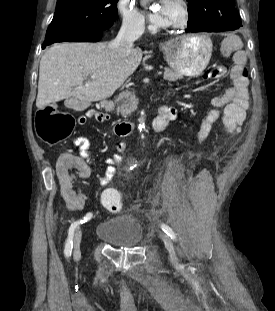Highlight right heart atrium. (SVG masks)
Wrapping results in <instances>:
<instances>
[{"label": "right heart atrium", "mask_w": 275, "mask_h": 311, "mask_svg": "<svg viewBox=\"0 0 275 311\" xmlns=\"http://www.w3.org/2000/svg\"><path fill=\"white\" fill-rule=\"evenodd\" d=\"M117 8L124 28L140 33L144 31L146 19L133 0H118Z\"/></svg>", "instance_id": "obj_1"}]
</instances>
